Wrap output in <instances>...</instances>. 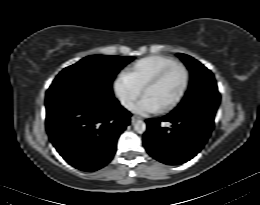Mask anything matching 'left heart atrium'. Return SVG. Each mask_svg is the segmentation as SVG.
Wrapping results in <instances>:
<instances>
[{
	"label": "left heart atrium",
	"mask_w": 260,
	"mask_h": 205,
	"mask_svg": "<svg viewBox=\"0 0 260 205\" xmlns=\"http://www.w3.org/2000/svg\"><path fill=\"white\" fill-rule=\"evenodd\" d=\"M133 110L139 113H153L159 110V106L152 99L145 96L133 107Z\"/></svg>",
	"instance_id": "obj_1"
}]
</instances>
